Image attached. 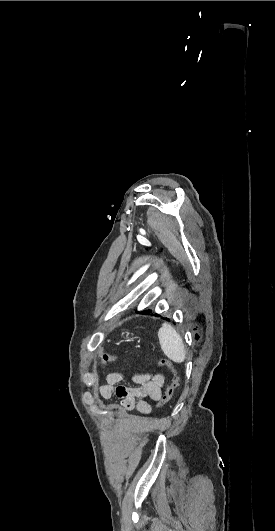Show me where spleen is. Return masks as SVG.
Wrapping results in <instances>:
<instances>
[{
    "instance_id": "obj_1",
    "label": "spleen",
    "mask_w": 275,
    "mask_h": 531,
    "mask_svg": "<svg viewBox=\"0 0 275 531\" xmlns=\"http://www.w3.org/2000/svg\"><path fill=\"white\" fill-rule=\"evenodd\" d=\"M158 339L164 355L170 361L183 363L186 355L185 347L180 335H178L170 323H163L161 329L158 331Z\"/></svg>"
}]
</instances>
